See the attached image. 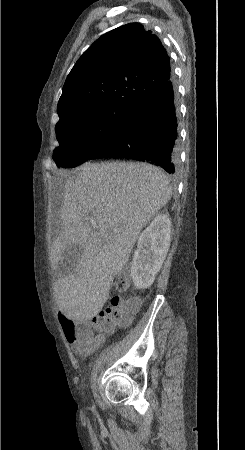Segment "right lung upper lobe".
<instances>
[{"instance_id": "cb5924a9", "label": "right lung upper lobe", "mask_w": 245, "mask_h": 450, "mask_svg": "<svg viewBox=\"0 0 245 450\" xmlns=\"http://www.w3.org/2000/svg\"><path fill=\"white\" fill-rule=\"evenodd\" d=\"M170 78L169 56L158 37L129 23L102 35L78 59L64 83L58 115L103 104L134 108Z\"/></svg>"}]
</instances>
